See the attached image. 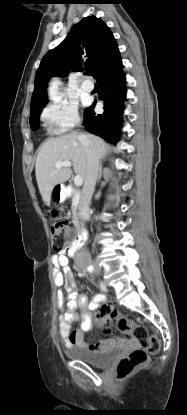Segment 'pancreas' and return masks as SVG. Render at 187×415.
Masks as SVG:
<instances>
[{
    "instance_id": "pancreas-1",
    "label": "pancreas",
    "mask_w": 187,
    "mask_h": 415,
    "mask_svg": "<svg viewBox=\"0 0 187 415\" xmlns=\"http://www.w3.org/2000/svg\"><path fill=\"white\" fill-rule=\"evenodd\" d=\"M73 223L75 225H78V218H77V214L76 213H73Z\"/></svg>"
}]
</instances>
